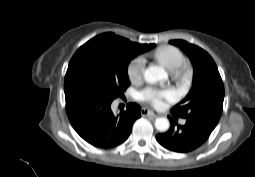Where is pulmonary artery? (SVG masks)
Returning a JSON list of instances; mask_svg holds the SVG:
<instances>
[{"mask_svg":"<svg viewBox=\"0 0 255 177\" xmlns=\"http://www.w3.org/2000/svg\"><path fill=\"white\" fill-rule=\"evenodd\" d=\"M186 123V121L183 119V120H181V124H185Z\"/></svg>","mask_w":255,"mask_h":177,"instance_id":"pulmonary-artery-1","label":"pulmonary artery"}]
</instances>
